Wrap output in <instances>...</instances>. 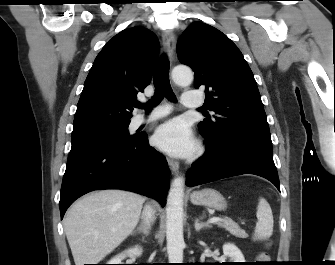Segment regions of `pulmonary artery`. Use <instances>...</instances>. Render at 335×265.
<instances>
[{
    "label": "pulmonary artery",
    "mask_w": 335,
    "mask_h": 265,
    "mask_svg": "<svg viewBox=\"0 0 335 265\" xmlns=\"http://www.w3.org/2000/svg\"><path fill=\"white\" fill-rule=\"evenodd\" d=\"M182 104L186 108H198L202 105V97L198 91H187L182 95ZM170 112L169 106H160L152 110L148 115H138L135 118L137 126L157 120Z\"/></svg>",
    "instance_id": "obj_1"
}]
</instances>
